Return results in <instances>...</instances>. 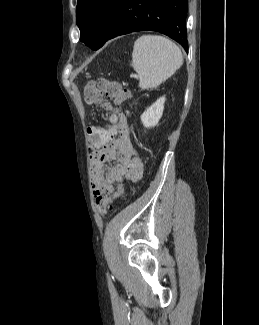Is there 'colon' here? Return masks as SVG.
Here are the masks:
<instances>
[{
  "label": "colon",
  "mask_w": 259,
  "mask_h": 325,
  "mask_svg": "<svg viewBox=\"0 0 259 325\" xmlns=\"http://www.w3.org/2000/svg\"><path fill=\"white\" fill-rule=\"evenodd\" d=\"M130 91L120 82L107 78H97L89 81L84 87V98L87 103L100 104L104 99L112 100L118 104H125L130 100ZM87 131L91 132L86 136L90 149H97L101 136L98 133L97 125H88ZM124 193L122 184L117 186L116 192L112 196L99 195L96 198L97 208L101 215H106L112 208L115 199Z\"/></svg>",
  "instance_id": "obj_1"
}]
</instances>
